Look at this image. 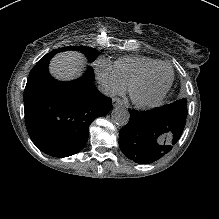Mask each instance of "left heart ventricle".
I'll return each instance as SVG.
<instances>
[{"label": "left heart ventricle", "instance_id": "1", "mask_svg": "<svg viewBox=\"0 0 219 219\" xmlns=\"http://www.w3.org/2000/svg\"><path fill=\"white\" fill-rule=\"evenodd\" d=\"M170 79V69L160 66L135 89L134 97L140 101L154 100L167 88Z\"/></svg>", "mask_w": 219, "mask_h": 219}]
</instances>
